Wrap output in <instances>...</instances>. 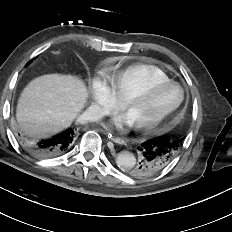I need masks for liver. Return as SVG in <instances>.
<instances>
[{
  "label": "liver",
  "instance_id": "liver-1",
  "mask_svg": "<svg viewBox=\"0 0 232 232\" xmlns=\"http://www.w3.org/2000/svg\"><path fill=\"white\" fill-rule=\"evenodd\" d=\"M88 98L84 82L71 75L47 74L22 91L16 118L24 134L48 138L69 127Z\"/></svg>",
  "mask_w": 232,
  "mask_h": 232
}]
</instances>
